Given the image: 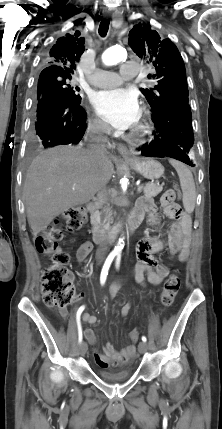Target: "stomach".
I'll list each match as a JSON object with an SVG mask.
<instances>
[{"label":"stomach","mask_w":222,"mask_h":429,"mask_svg":"<svg viewBox=\"0 0 222 429\" xmlns=\"http://www.w3.org/2000/svg\"><path fill=\"white\" fill-rule=\"evenodd\" d=\"M129 165L147 179H158L164 174L162 164L153 159H136L130 161Z\"/></svg>","instance_id":"stomach-1"}]
</instances>
